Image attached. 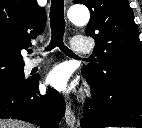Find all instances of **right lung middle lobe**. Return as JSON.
I'll list each match as a JSON object with an SVG mask.
<instances>
[{"label":"right lung middle lobe","instance_id":"right-lung-middle-lobe-1","mask_svg":"<svg viewBox=\"0 0 142 128\" xmlns=\"http://www.w3.org/2000/svg\"><path fill=\"white\" fill-rule=\"evenodd\" d=\"M27 80L24 77L23 67L0 68V90L17 87Z\"/></svg>","mask_w":142,"mask_h":128}]
</instances>
